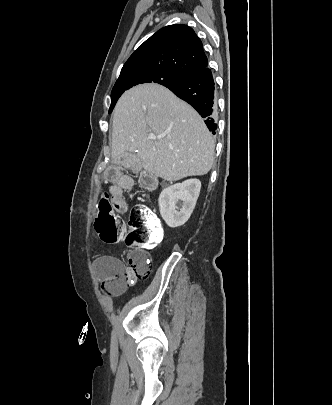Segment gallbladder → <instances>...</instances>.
Instances as JSON below:
<instances>
[{
	"instance_id": "obj_1",
	"label": "gallbladder",
	"mask_w": 332,
	"mask_h": 405,
	"mask_svg": "<svg viewBox=\"0 0 332 405\" xmlns=\"http://www.w3.org/2000/svg\"><path fill=\"white\" fill-rule=\"evenodd\" d=\"M133 156H134L135 158H137V155L133 154Z\"/></svg>"
}]
</instances>
